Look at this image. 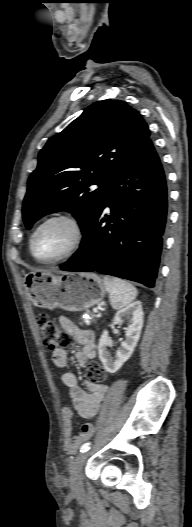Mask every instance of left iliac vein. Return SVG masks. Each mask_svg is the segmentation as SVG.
<instances>
[{
	"mask_svg": "<svg viewBox=\"0 0 192 527\" xmlns=\"http://www.w3.org/2000/svg\"><path fill=\"white\" fill-rule=\"evenodd\" d=\"M89 452L80 453L70 467V486L73 492L78 493L83 488L82 469Z\"/></svg>",
	"mask_w": 192,
	"mask_h": 527,
	"instance_id": "4c4485c4",
	"label": "left iliac vein"
}]
</instances>
